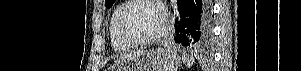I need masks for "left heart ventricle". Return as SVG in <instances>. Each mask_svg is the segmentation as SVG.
<instances>
[{
    "instance_id": "1",
    "label": "left heart ventricle",
    "mask_w": 301,
    "mask_h": 71,
    "mask_svg": "<svg viewBox=\"0 0 301 71\" xmlns=\"http://www.w3.org/2000/svg\"><path fill=\"white\" fill-rule=\"evenodd\" d=\"M161 23L162 16L158 8L143 2L134 5L128 11L125 30L130 38L140 40L154 35Z\"/></svg>"
}]
</instances>
